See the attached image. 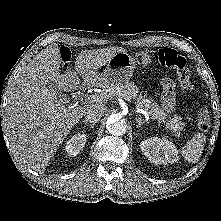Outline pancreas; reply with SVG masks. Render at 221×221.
<instances>
[{
    "label": "pancreas",
    "instance_id": "1",
    "mask_svg": "<svg viewBox=\"0 0 221 221\" xmlns=\"http://www.w3.org/2000/svg\"><path fill=\"white\" fill-rule=\"evenodd\" d=\"M102 93L107 95L108 98L127 94L130 98L136 100L135 106L137 109L147 111L153 120L164 124L165 129L170 130L173 134L183 130L185 127V123L181 121L182 118L180 116L175 115L171 117L168 115L152 98L146 95L142 96L133 82L126 81L122 84L105 85Z\"/></svg>",
    "mask_w": 221,
    "mask_h": 221
}]
</instances>
